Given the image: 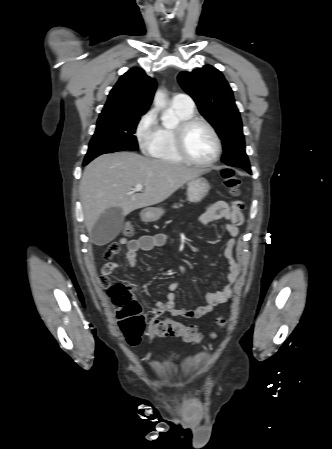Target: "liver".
Listing matches in <instances>:
<instances>
[{"label":"liver","instance_id":"obj_1","mask_svg":"<svg viewBox=\"0 0 332 449\" xmlns=\"http://www.w3.org/2000/svg\"><path fill=\"white\" fill-rule=\"evenodd\" d=\"M202 173L200 169L133 152L97 157L86 166L79 188L88 232L91 233L107 208L119 207L125 216L136 209L158 204ZM137 184L144 188L141 193L132 192Z\"/></svg>","mask_w":332,"mask_h":449}]
</instances>
